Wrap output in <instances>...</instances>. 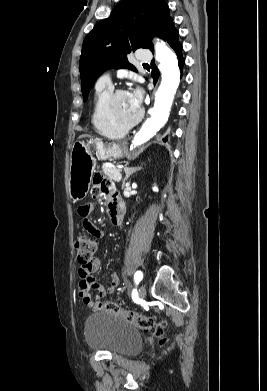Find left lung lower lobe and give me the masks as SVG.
I'll return each instance as SVG.
<instances>
[{
  "label": "left lung lower lobe",
  "instance_id": "1",
  "mask_svg": "<svg viewBox=\"0 0 267 391\" xmlns=\"http://www.w3.org/2000/svg\"><path fill=\"white\" fill-rule=\"evenodd\" d=\"M178 36H179V33L176 30V28L173 26L167 32V34L165 35L163 40L167 41L168 44L175 51V53H176V55L178 57L179 68H180L181 76H182V72H183L182 68H183V65H184V58L182 56V45L179 43ZM151 51L154 53V49H152ZM151 66H152L151 76L154 79V84H155L157 82V80H158V77H159V71H158L157 67L155 66L154 60L152 61ZM166 140H167V138H166Z\"/></svg>",
  "mask_w": 267,
  "mask_h": 391
}]
</instances>
